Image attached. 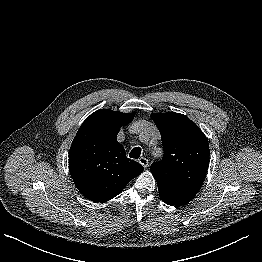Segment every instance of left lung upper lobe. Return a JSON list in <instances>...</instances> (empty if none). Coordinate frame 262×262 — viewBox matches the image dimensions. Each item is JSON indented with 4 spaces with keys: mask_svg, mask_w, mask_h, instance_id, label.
Segmentation results:
<instances>
[{
    "mask_svg": "<svg viewBox=\"0 0 262 262\" xmlns=\"http://www.w3.org/2000/svg\"><path fill=\"white\" fill-rule=\"evenodd\" d=\"M164 155L151 165L159 196L168 205L181 206L190 202L206 176L209 166V143L204 133L187 116L166 112L153 113Z\"/></svg>",
    "mask_w": 262,
    "mask_h": 262,
    "instance_id": "left-lung-upper-lobe-1",
    "label": "left lung upper lobe"
}]
</instances>
